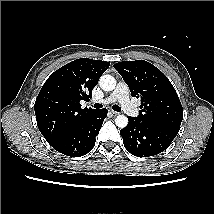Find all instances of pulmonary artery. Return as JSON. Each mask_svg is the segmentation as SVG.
Returning <instances> with one entry per match:
<instances>
[{"mask_svg": "<svg viewBox=\"0 0 214 214\" xmlns=\"http://www.w3.org/2000/svg\"><path fill=\"white\" fill-rule=\"evenodd\" d=\"M118 101L121 107L131 116H137L139 109L132 103L129 98V89L123 82H119L114 91L105 99H102V103H113Z\"/></svg>", "mask_w": 214, "mask_h": 214, "instance_id": "pulmonary-artery-1", "label": "pulmonary artery"}]
</instances>
